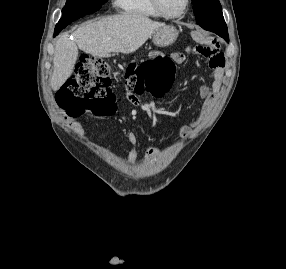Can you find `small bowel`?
Masks as SVG:
<instances>
[{"mask_svg":"<svg viewBox=\"0 0 286 269\" xmlns=\"http://www.w3.org/2000/svg\"><path fill=\"white\" fill-rule=\"evenodd\" d=\"M187 51H191L194 54L205 58L209 62L210 68L213 70V79L210 84L203 85L200 89V97L202 100L201 108L198 117L180 127V132L183 136H189L193 127L197 126L209 113L213 100L216 94L219 93L224 78V67H225V56L218 49V45L215 42L208 44L202 51L196 52L195 47L193 49L187 48ZM174 61L177 64H181L184 61V56L180 53L173 55ZM126 99H137V94H126ZM140 101H133V106H140ZM138 135L134 131H130L127 134V141L130 144V149L128 152V163L134 165L138 159ZM158 148L150 144L144 155V160L146 163L153 162L158 156Z\"/></svg>","mask_w":286,"mask_h":269,"instance_id":"c3829d8e","label":"small bowel"}]
</instances>
